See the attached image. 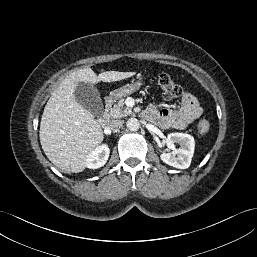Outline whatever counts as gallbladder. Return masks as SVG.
<instances>
[{"label": "gallbladder", "mask_w": 257, "mask_h": 257, "mask_svg": "<svg viewBox=\"0 0 257 257\" xmlns=\"http://www.w3.org/2000/svg\"><path fill=\"white\" fill-rule=\"evenodd\" d=\"M75 100L94 116L103 114L104 106L97 88L90 83L79 82L74 90Z\"/></svg>", "instance_id": "obj_1"}]
</instances>
